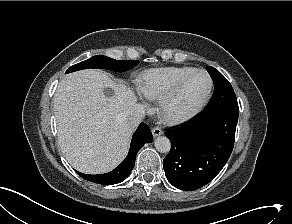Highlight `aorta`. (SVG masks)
I'll return each instance as SVG.
<instances>
[{
	"label": "aorta",
	"instance_id": "1",
	"mask_svg": "<svg viewBox=\"0 0 292 224\" xmlns=\"http://www.w3.org/2000/svg\"><path fill=\"white\" fill-rule=\"evenodd\" d=\"M154 145L161 153H168L171 149V142L166 136H159L156 138Z\"/></svg>",
	"mask_w": 292,
	"mask_h": 224
}]
</instances>
